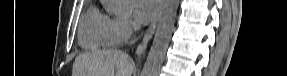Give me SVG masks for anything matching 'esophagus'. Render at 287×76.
I'll return each mask as SVG.
<instances>
[{"instance_id":"1","label":"esophagus","mask_w":287,"mask_h":76,"mask_svg":"<svg viewBox=\"0 0 287 76\" xmlns=\"http://www.w3.org/2000/svg\"><path fill=\"white\" fill-rule=\"evenodd\" d=\"M160 13H161V0H158V9H157L156 16L154 17V19L151 22L150 26L148 27L146 33L144 34L142 42L138 45V47L136 49V55L137 56H140L145 52L147 45H148V42L152 38L154 31L156 29L157 22H158L159 17H160Z\"/></svg>"}]
</instances>
